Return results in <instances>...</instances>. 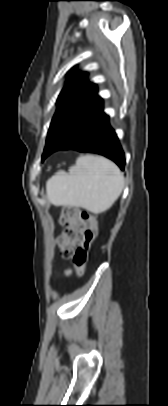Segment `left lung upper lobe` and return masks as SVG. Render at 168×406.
<instances>
[{
  "mask_svg": "<svg viewBox=\"0 0 168 406\" xmlns=\"http://www.w3.org/2000/svg\"><path fill=\"white\" fill-rule=\"evenodd\" d=\"M87 73L73 74L63 87L57 110L50 124L42 160L72 139L102 101L96 85L86 80Z\"/></svg>",
  "mask_w": 168,
  "mask_h": 406,
  "instance_id": "obj_1",
  "label": "left lung upper lobe"
}]
</instances>
